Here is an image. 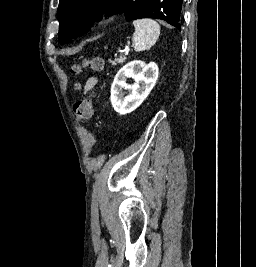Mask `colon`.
Listing matches in <instances>:
<instances>
[{
	"label": "colon",
	"instance_id": "1",
	"mask_svg": "<svg viewBox=\"0 0 256 267\" xmlns=\"http://www.w3.org/2000/svg\"><path fill=\"white\" fill-rule=\"evenodd\" d=\"M83 67L93 72L100 71L103 67V60L99 57H88L84 60L83 64H73L70 68V72L73 76H79ZM74 87L79 89L80 84L75 83ZM96 99V90L92 89L85 98L77 100L73 103L72 111L79 123L84 124L93 117Z\"/></svg>",
	"mask_w": 256,
	"mask_h": 267
}]
</instances>
